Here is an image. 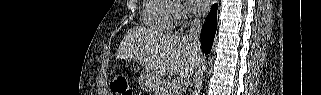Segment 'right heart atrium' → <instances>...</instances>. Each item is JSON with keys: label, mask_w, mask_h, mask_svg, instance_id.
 <instances>
[{"label": "right heart atrium", "mask_w": 321, "mask_h": 95, "mask_svg": "<svg viewBox=\"0 0 321 95\" xmlns=\"http://www.w3.org/2000/svg\"><path fill=\"white\" fill-rule=\"evenodd\" d=\"M175 15L179 20H188L190 17L189 11L178 2L175 4Z\"/></svg>", "instance_id": "d8ad5b80"}]
</instances>
